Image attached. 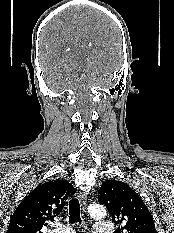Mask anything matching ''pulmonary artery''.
Returning <instances> with one entry per match:
<instances>
[{"label": "pulmonary artery", "mask_w": 174, "mask_h": 233, "mask_svg": "<svg viewBox=\"0 0 174 233\" xmlns=\"http://www.w3.org/2000/svg\"><path fill=\"white\" fill-rule=\"evenodd\" d=\"M96 233H113L114 224L107 220H100L95 225ZM50 233H74L70 228L59 226L57 229L52 230Z\"/></svg>", "instance_id": "obj_1"}]
</instances>
